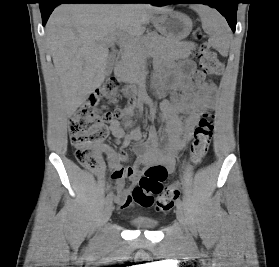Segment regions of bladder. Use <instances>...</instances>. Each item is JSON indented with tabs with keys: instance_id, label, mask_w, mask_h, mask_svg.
<instances>
[{
	"instance_id": "bladder-1",
	"label": "bladder",
	"mask_w": 279,
	"mask_h": 267,
	"mask_svg": "<svg viewBox=\"0 0 279 267\" xmlns=\"http://www.w3.org/2000/svg\"><path fill=\"white\" fill-rule=\"evenodd\" d=\"M130 224L138 229H155L159 222L156 219L145 217V216H138L134 217L130 220Z\"/></svg>"
}]
</instances>
